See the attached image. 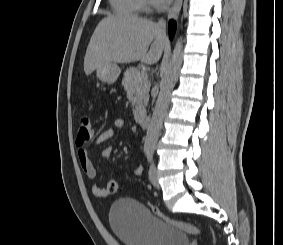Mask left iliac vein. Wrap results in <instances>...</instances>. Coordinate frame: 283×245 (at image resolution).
I'll return each instance as SVG.
<instances>
[{
    "instance_id": "4c4485c4",
    "label": "left iliac vein",
    "mask_w": 283,
    "mask_h": 245,
    "mask_svg": "<svg viewBox=\"0 0 283 245\" xmlns=\"http://www.w3.org/2000/svg\"><path fill=\"white\" fill-rule=\"evenodd\" d=\"M149 179L150 182L152 183V185L157 188L160 189V184L158 182V176H157V169L154 163H152L150 165V169H149Z\"/></svg>"
}]
</instances>
